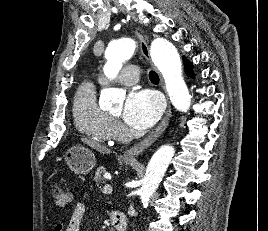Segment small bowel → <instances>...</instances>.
Instances as JSON below:
<instances>
[{"label": "small bowel", "instance_id": "c3829d8e", "mask_svg": "<svg viewBox=\"0 0 268 231\" xmlns=\"http://www.w3.org/2000/svg\"><path fill=\"white\" fill-rule=\"evenodd\" d=\"M85 211L86 206L84 203H76L69 221L67 223H58L56 231H81V224Z\"/></svg>", "mask_w": 268, "mask_h": 231}]
</instances>
